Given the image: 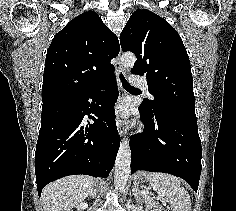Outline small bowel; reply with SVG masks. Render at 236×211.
Wrapping results in <instances>:
<instances>
[{"mask_svg":"<svg viewBox=\"0 0 236 211\" xmlns=\"http://www.w3.org/2000/svg\"><path fill=\"white\" fill-rule=\"evenodd\" d=\"M153 209V211H161L162 208L160 205H154Z\"/></svg>","mask_w":236,"mask_h":211,"instance_id":"c3829d8e","label":"small bowel"}]
</instances>
